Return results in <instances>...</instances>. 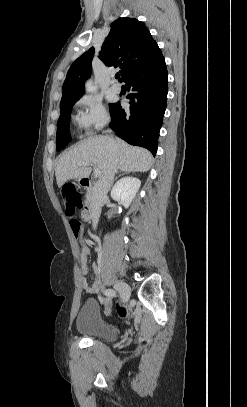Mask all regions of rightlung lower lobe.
Segmentation results:
<instances>
[{"instance_id": "1", "label": "right lung lower lobe", "mask_w": 247, "mask_h": 407, "mask_svg": "<svg viewBox=\"0 0 247 407\" xmlns=\"http://www.w3.org/2000/svg\"><path fill=\"white\" fill-rule=\"evenodd\" d=\"M123 81L132 92L128 95L130 108L113 104L111 128L129 144L144 147L155 156L168 93L164 57L135 69Z\"/></svg>"}]
</instances>
